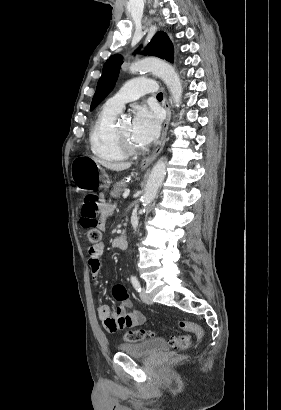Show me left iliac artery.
<instances>
[{"instance_id": "1", "label": "left iliac artery", "mask_w": 281, "mask_h": 410, "mask_svg": "<svg viewBox=\"0 0 281 410\" xmlns=\"http://www.w3.org/2000/svg\"><path fill=\"white\" fill-rule=\"evenodd\" d=\"M131 283H132V285H133V287L136 291H138V292L141 291L140 283H139L138 279L133 275L131 276Z\"/></svg>"}]
</instances>
